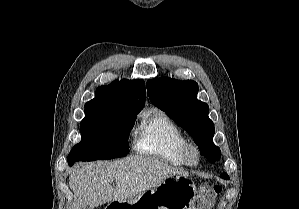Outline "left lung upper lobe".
<instances>
[{"instance_id": "left-lung-upper-lobe-1", "label": "left lung upper lobe", "mask_w": 299, "mask_h": 209, "mask_svg": "<svg viewBox=\"0 0 299 209\" xmlns=\"http://www.w3.org/2000/svg\"><path fill=\"white\" fill-rule=\"evenodd\" d=\"M147 93L152 104L168 113L185 129L198 145L201 155L215 162L221 151L213 143L215 128L209 119V106L198 100V84L192 80L179 81L169 77L147 81Z\"/></svg>"}]
</instances>
